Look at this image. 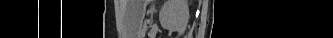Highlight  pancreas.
<instances>
[{"label":"pancreas","mask_w":333,"mask_h":38,"mask_svg":"<svg viewBox=\"0 0 333 38\" xmlns=\"http://www.w3.org/2000/svg\"><path fill=\"white\" fill-rule=\"evenodd\" d=\"M147 30L146 24L143 26V31L145 32Z\"/></svg>","instance_id":"pancreas-1"}]
</instances>
